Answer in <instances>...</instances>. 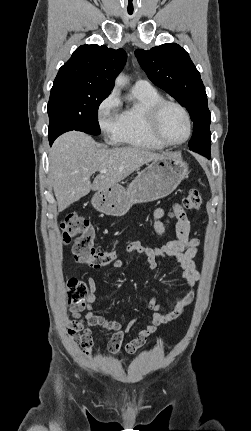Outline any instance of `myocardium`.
<instances>
[{
  "mask_svg": "<svg viewBox=\"0 0 251 431\" xmlns=\"http://www.w3.org/2000/svg\"><path fill=\"white\" fill-rule=\"evenodd\" d=\"M167 106H174L178 108L182 114L184 115L185 121H186V135L185 137L178 141V142H170L166 140L159 129V119L161 116L162 111ZM147 127L150 132V134L156 139L159 143H161L164 146L169 147H176L184 144L191 136L192 132V123L191 118L189 115L188 110L179 102L170 100V99H160L157 102H155L147 111Z\"/></svg>",
  "mask_w": 251,
  "mask_h": 431,
  "instance_id": "myocardium-1",
  "label": "myocardium"
}]
</instances>
